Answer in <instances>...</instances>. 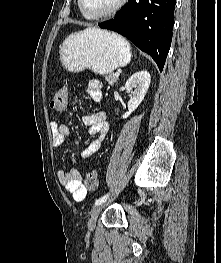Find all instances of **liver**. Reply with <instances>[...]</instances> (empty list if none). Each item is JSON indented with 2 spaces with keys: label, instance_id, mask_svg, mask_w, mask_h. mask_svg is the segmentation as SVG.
<instances>
[{
  "label": "liver",
  "instance_id": "1",
  "mask_svg": "<svg viewBox=\"0 0 221 263\" xmlns=\"http://www.w3.org/2000/svg\"><path fill=\"white\" fill-rule=\"evenodd\" d=\"M89 30H91V31H94V30H96V28H88Z\"/></svg>",
  "mask_w": 221,
  "mask_h": 263
}]
</instances>
